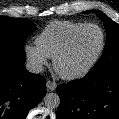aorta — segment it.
Segmentation results:
<instances>
[{
    "instance_id": "aorta-1",
    "label": "aorta",
    "mask_w": 119,
    "mask_h": 119,
    "mask_svg": "<svg viewBox=\"0 0 119 119\" xmlns=\"http://www.w3.org/2000/svg\"><path fill=\"white\" fill-rule=\"evenodd\" d=\"M43 101L48 109H56L60 105V97L57 93H47Z\"/></svg>"
}]
</instances>
